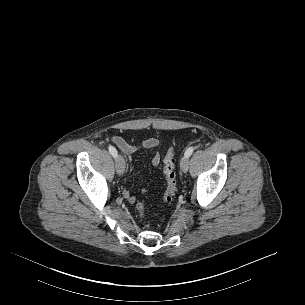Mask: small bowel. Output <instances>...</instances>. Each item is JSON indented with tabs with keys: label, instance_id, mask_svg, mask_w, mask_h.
Masks as SVG:
<instances>
[{
	"label": "small bowel",
	"instance_id": "c3829d8e",
	"mask_svg": "<svg viewBox=\"0 0 305 305\" xmlns=\"http://www.w3.org/2000/svg\"><path fill=\"white\" fill-rule=\"evenodd\" d=\"M111 140L129 158L134 157L138 152L142 150L153 149L157 147L159 144V141L155 138H148L137 144H130L120 136H112ZM160 162H161L160 155L157 152H154L151 157L152 166L157 167L160 164ZM147 190H148L147 188L142 189V193H146ZM123 196L130 203H134L136 200V197L133 194H131L128 190H125L123 192Z\"/></svg>",
	"mask_w": 305,
	"mask_h": 305
}]
</instances>
